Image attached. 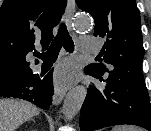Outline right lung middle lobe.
<instances>
[{
	"label": "right lung middle lobe",
	"mask_w": 151,
	"mask_h": 131,
	"mask_svg": "<svg viewBox=\"0 0 151 131\" xmlns=\"http://www.w3.org/2000/svg\"><path fill=\"white\" fill-rule=\"evenodd\" d=\"M20 80H21V79H20ZM17 81H19V80H17ZM17 81H16V82H17ZM14 83H15V82H14ZM5 87H7V86L0 84V89H4Z\"/></svg>",
	"instance_id": "dd1d6c3e"
}]
</instances>
